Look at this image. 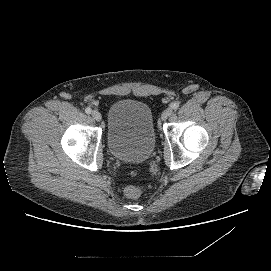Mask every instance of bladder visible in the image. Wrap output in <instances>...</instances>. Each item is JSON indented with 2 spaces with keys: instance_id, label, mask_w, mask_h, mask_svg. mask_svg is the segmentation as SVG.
Listing matches in <instances>:
<instances>
[{
  "instance_id": "1",
  "label": "bladder",
  "mask_w": 271,
  "mask_h": 271,
  "mask_svg": "<svg viewBox=\"0 0 271 271\" xmlns=\"http://www.w3.org/2000/svg\"><path fill=\"white\" fill-rule=\"evenodd\" d=\"M107 144L117 160L130 163L148 160L156 145L151 108L134 99L112 103L108 111Z\"/></svg>"
}]
</instances>
